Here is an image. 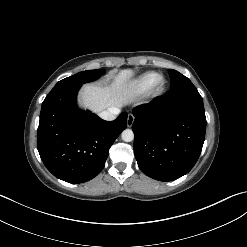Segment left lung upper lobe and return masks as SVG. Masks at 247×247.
Returning a JSON list of instances; mask_svg holds the SVG:
<instances>
[{"mask_svg":"<svg viewBox=\"0 0 247 247\" xmlns=\"http://www.w3.org/2000/svg\"><path fill=\"white\" fill-rule=\"evenodd\" d=\"M169 74L171 77V90L181 91V90H192L196 89L192 82L181 73L176 70L170 69Z\"/></svg>","mask_w":247,"mask_h":247,"instance_id":"5c2ea615","label":"left lung upper lobe"}]
</instances>
